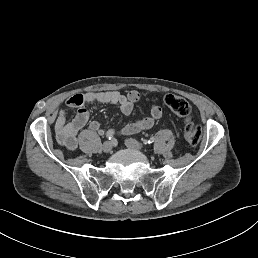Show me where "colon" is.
<instances>
[{"instance_id":"obj_1","label":"colon","mask_w":258,"mask_h":258,"mask_svg":"<svg viewBox=\"0 0 258 258\" xmlns=\"http://www.w3.org/2000/svg\"><path fill=\"white\" fill-rule=\"evenodd\" d=\"M164 103L178 116L184 118V139L191 145L199 144L202 137V128L192 122L190 118L191 108L188 102L175 94H167Z\"/></svg>"}]
</instances>
